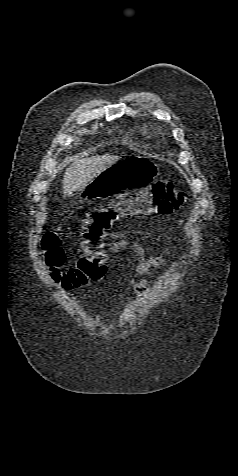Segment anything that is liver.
Instances as JSON below:
<instances>
[{"mask_svg":"<svg viewBox=\"0 0 238 476\" xmlns=\"http://www.w3.org/2000/svg\"><path fill=\"white\" fill-rule=\"evenodd\" d=\"M119 160L118 156L97 155L87 158L75 157L72 164L65 170L63 193L67 196L80 191L98 174Z\"/></svg>","mask_w":238,"mask_h":476,"instance_id":"obj_1","label":"liver"}]
</instances>
